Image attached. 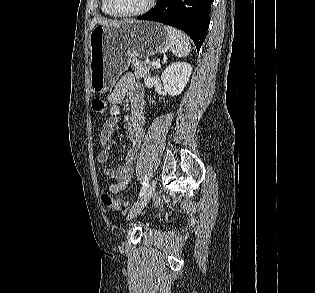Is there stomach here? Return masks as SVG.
I'll list each match as a JSON object with an SVG mask.
<instances>
[{
	"instance_id": "stomach-1",
	"label": "stomach",
	"mask_w": 315,
	"mask_h": 293,
	"mask_svg": "<svg viewBox=\"0 0 315 293\" xmlns=\"http://www.w3.org/2000/svg\"><path fill=\"white\" fill-rule=\"evenodd\" d=\"M168 48L169 37L159 23L129 20L95 26L89 36L92 91H110L133 57L147 58Z\"/></svg>"
}]
</instances>
